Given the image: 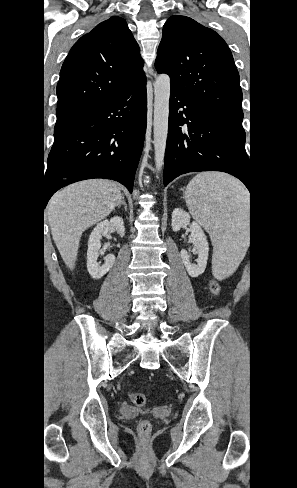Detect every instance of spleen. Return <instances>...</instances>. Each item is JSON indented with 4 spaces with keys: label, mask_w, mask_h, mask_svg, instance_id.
Listing matches in <instances>:
<instances>
[{
    "label": "spleen",
    "mask_w": 297,
    "mask_h": 488,
    "mask_svg": "<svg viewBox=\"0 0 297 488\" xmlns=\"http://www.w3.org/2000/svg\"><path fill=\"white\" fill-rule=\"evenodd\" d=\"M185 200L192 216L211 237L214 267L219 259L222 272H234L248 242L249 194L245 187L226 174L200 173L189 182Z\"/></svg>",
    "instance_id": "obj_1"
}]
</instances>
